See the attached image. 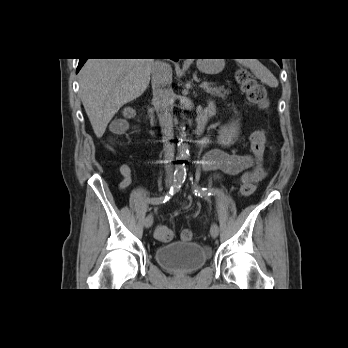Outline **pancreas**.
<instances>
[{"label":"pancreas","instance_id":"pancreas-1","mask_svg":"<svg viewBox=\"0 0 348 348\" xmlns=\"http://www.w3.org/2000/svg\"><path fill=\"white\" fill-rule=\"evenodd\" d=\"M206 92L214 95V96H219L224 98L226 94H229L228 90H224L223 88L220 87H213V86H208L205 88Z\"/></svg>","mask_w":348,"mask_h":348}]
</instances>
